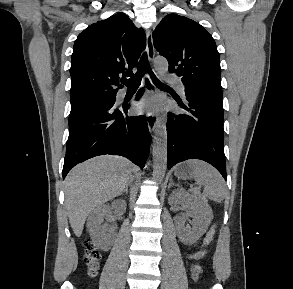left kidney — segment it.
I'll return each mask as SVG.
<instances>
[{
	"instance_id": "obj_1",
	"label": "left kidney",
	"mask_w": 293,
	"mask_h": 289,
	"mask_svg": "<svg viewBox=\"0 0 293 289\" xmlns=\"http://www.w3.org/2000/svg\"><path fill=\"white\" fill-rule=\"evenodd\" d=\"M170 204H184L190 210L189 216L193 218L192 227L185 226L184 222L178 224V238L184 244H194L208 229L213 212L207 202L197 199L183 189L171 194Z\"/></svg>"
}]
</instances>
